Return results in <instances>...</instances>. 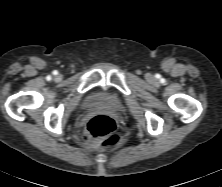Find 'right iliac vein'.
I'll use <instances>...</instances> for the list:
<instances>
[{
    "instance_id": "right-iliac-vein-1",
    "label": "right iliac vein",
    "mask_w": 222,
    "mask_h": 187,
    "mask_svg": "<svg viewBox=\"0 0 222 187\" xmlns=\"http://www.w3.org/2000/svg\"><path fill=\"white\" fill-rule=\"evenodd\" d=\"M56 79H58V80H59V79H60V76H57V77H56Z\"/></svg>"
}]
</instances>
